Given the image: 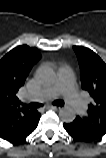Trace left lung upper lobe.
Returning <instances> with one entry per match:
<instances>
[{
  "label": "left lung upper lobe",
  "mask_w": 106,
  "mask_h": 158,
  "mask_svg": "<svg viewBox=\"0 0 106 158\" xmlns=\"http://www.w3.org/2000/svg\"><path fill=\"white\" fill-rule=\"evenodd\" d=\"M74 51L80 65L82 88L90 93L95 103L89 106L85 116H78L73 124L95 138L106 130V64L87 48L75 46Z\"/></svg>",
  "instance_id": "5c2ea615"
}]
</instances>
